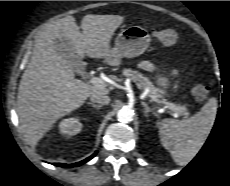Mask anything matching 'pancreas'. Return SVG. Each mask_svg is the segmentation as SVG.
<instances>
[{
    "label": "pancreas",
    "mask_w": 230,
    "mask_h": 186,
    "mask_svg": "<svg viewBox=\"0 0 230 186\" xmlns=\"http://www.w3.org/2000/svg\"><path fill=\"white\" fill-rule=\"evenodd\" d=\"M123 75L129 77L133 82L137 84V86L140 89L148 90V96L150 98L152 97L156 99L161 98V95L159 94V90L152 84V82L149 80L148 77L143 76L138 71H134L131 69H124ZM177 107H178L177 113L179 115H183L185 117L189 116V112L186 107L184 106H177Z\"/></svg>",
    "instance_id": "1"
}]
</instances>
